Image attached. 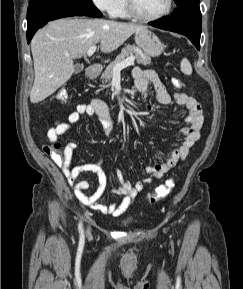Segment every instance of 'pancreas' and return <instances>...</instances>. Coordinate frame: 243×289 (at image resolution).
<instances>
[{
	"instance_id": "pancreas-1",
	"label": "pancreas",
	"mask_w": 243,
	"mask_h": 289,
	"mask_svg": "<svg viewBox=\"0 0 243 289\" xmlns=\"http://www.w3.org/2000/svg\"><path fill=\"white\" fill-rule=\"evenodd\" d=\"M134 55L137 59V63L141 65H150L151 64V58L149 55L143 53V51L134 46V45H127L125 48L122 49L121 53L115 58L114 61H112L105 69L102 77L105 81V83L110 82L113 77V69L114 66L125 59H127L129 56ZM113 91V89H112Z\"/></svg>"
}]
</instances>
